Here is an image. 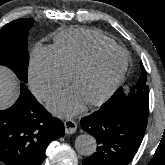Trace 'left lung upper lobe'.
<instances>
[{
    "mask_svg": "<svg viewBox=\"0 0 165 165\" xmlns=\"http://www.w3.org/2000/svg\"><path fill=\"white\" fill-rule=\"evenodd\" d=\"M140 66V77L135 87L131 90V93L125 96L122 89L117 90L109 102L102 107L103 109L131 110L148 114L149 88L147 85V75L142 63H140Z\"/></svg>",
    "mask_w": 165,
    "mask_h": 165,
    "instance_id": "5c2ea615",
    "label": "left lung upper lobe"
}]
</instances>
